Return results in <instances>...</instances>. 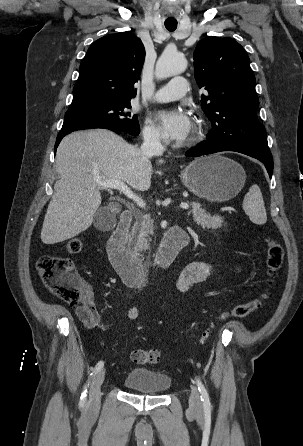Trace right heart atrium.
Wrapping results in <instances>:
<instances>
[{
  "mask_svg": "<svg viewBox=\"0 0 303 446\" xmlns=\"http://www.w3.org/2000/svg\"><path fill=\"white\" fill-rule=\"evenodd\" d=\"M142 133L144 140L148 144L157 145L164 141L161 131L150 119L145 121Z\"/></svg>",
  "mask_w": 303,
  "mask_h": 446,
  "instance_id": "obj_1",
  "label": "right heart atrium"
}]
</instances>
